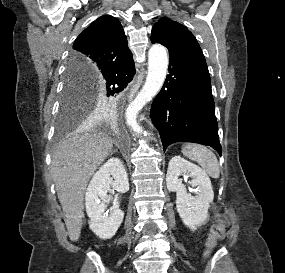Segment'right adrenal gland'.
Returning <instances> with one entry per match:
<instances>
[{"label":"right adrenal gland","mask_w":285,"mask_h":273,"mask_svg":"<svg viewBox=\"0 0 285 273\" xmlns=\"http://www.w3.org/2000/svg\"><path fill=\"white\" fill-rule=\"evenodd\" d=\"M115 152H117V150H113V151L111 152V154H113V153H115Z\"/></svg>","instance_id":"obj_1"}]
</instances>
